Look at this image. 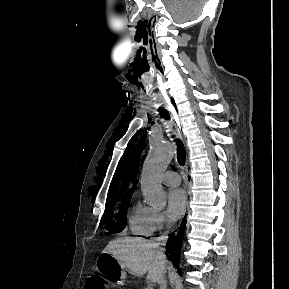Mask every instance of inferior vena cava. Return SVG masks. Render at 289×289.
Listing matches in <instances>:
<instances>
[{
	"label": "inferior vena cava",
	"mask_w": 289,
	"mask_h": 289,
	"mask_svg": "<svg viewBox=\"0 0 289 289\" xmlns=\"http://www.w3.org/2000/svg\"><path fill=\"white\" fill-rule=\"evenodd\" d=\"M167 238H168L167 233H165L164 236L162 237V240L159 243V245H161V246L165 245ZM157 256L160 259L161 263L164 265L165 264V254H164L163 248H161L159 246H158V250H157ZM158 283L160 285V289H166V278L164 275L161 276Z\"/></svg>",
	"instance_id": "obj_1"
}]
</instances>
